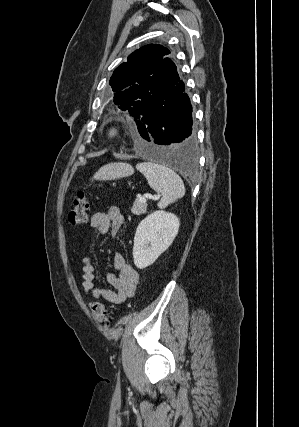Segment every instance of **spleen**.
I'll return each mask as SVG.
<instances>
[{
	"label": "spleen",
	"mask_w": 299,
	"mask_h": 427,
	"mask_svg": "<svg viewBox=\"0 0 299 427\" xmlns=\"http://www.w3.org/2000/svg\"><path fill=\"white\" fill-rule=\"evenodd\" d=\"M136 168L145 176L149 186L161 195L159 208H166L184 196V183L170 168L154 162H142L137 164Z\"/></svg>",
	"instance_id": "spleen-1"
}]
</instances>
